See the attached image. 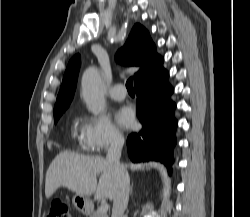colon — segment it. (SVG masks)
I'll return each instance as SVG.
<instances>
[{
  "instance_id": "obj_1",
  "label": "colon",
  "mask_w": 250,
  "mask_h": 217,
  "mask_svg": "<svg viewBox=\"0 0 250 217\" xmlns=\"http://www.w3.org/2000/svg\"><path fill=\"white\" fill-rule=\"evenodd\" d=\"M47 217H72L69 207L62 201H54L49 209Z\"/></svg>"
}]
</instances>
